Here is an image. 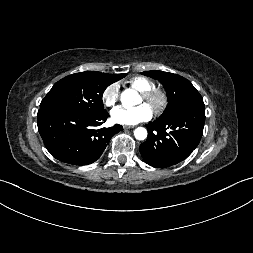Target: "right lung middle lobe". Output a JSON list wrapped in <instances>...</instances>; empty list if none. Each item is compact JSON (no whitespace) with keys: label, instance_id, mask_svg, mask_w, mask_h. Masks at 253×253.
Here are the masks:
<instances>
[{"label":"right lung middle lobe","instance_id":"1","mask_svg":"<svg viewBox=\"0 0 253 253\" xmlns=\"http://www.w3.org/2000/svg\"><path fill=\"white\" fill-rule=\"evenodd\" d=\"M127 74L113 77L111 74L85 71L59 80L47 93L40 109H61L97 115L104 112L102 95L105 89Z\"/></svg>","mask_w":253,"mask_h":253}]
</instances>
